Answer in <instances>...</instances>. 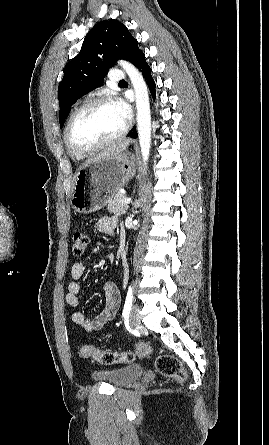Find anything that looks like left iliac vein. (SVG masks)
Here are the masks:
<instances>
[{
	"instance_id": "4c4485c4",
	"label": "left iliac vein",
	"mask_w": 269,
	"mask_h": 445,
	"mask_svg": "<svg viewBox=\"0 0 269 445\" xmlns=\"http://www.w3.org/2000/svg\"><path fill=\"white\" fill-rule=\"evenodd\" d=\"M141 324V317L139 314V307L134 305L129 315V325L131 328H137Z\"/></svg>"
}]
</instances>
